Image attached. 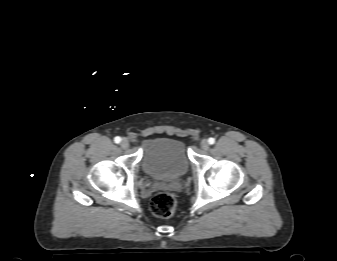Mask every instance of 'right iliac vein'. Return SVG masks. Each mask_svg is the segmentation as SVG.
Masks as SVG:
<instances>
[{"instance_id":"63e3f726","label":"right iliac vein","mask_w":337,"mask_h":261,"mask_svg":"<svg viewBox=\"0 0 337 261\" xmlns=\"http://www.w3.org/2000/svg\"><path fill=\"white\" fill-rule=\"evenodd\" d=\"M121 147L123 148V149H126V148H128L129 147V141L126 139V138H124L122 141H121Z\"/></svg>"}]
</instances>
